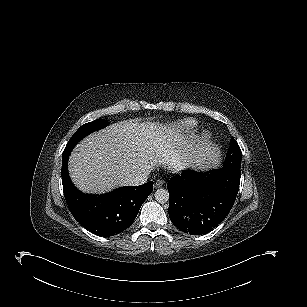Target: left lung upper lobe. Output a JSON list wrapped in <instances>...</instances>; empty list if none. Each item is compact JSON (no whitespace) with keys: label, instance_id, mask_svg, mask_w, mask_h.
I'll return each instance as SVG.
<instances>
[{"label":"left lung upper lobe","instance_id":"1","mask_svg":"<svg viewBox=\"0 0 307 307\" xmlns=\"http://www.w3.org/2000/svg\"><path fill=\"white\" fill-rule=\"evenodd\" d=\"M241 154L242 153L238 143L234 140V138H231L230 148L226 154L224 165L240 169Z\"/></svg>","mask_w":307,"mask_h":307}]
</instances>
